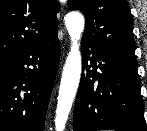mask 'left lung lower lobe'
Segmentation results:
<instances>
[{
	"mask_svg": "<svg viewBox=\"0 0 147 131\" xmlns=\"http://www.w3.org/2000/svg\"><path fill=\"white\" fill-rule=\"evenodd\" d=\"M73 131H147L138 65L82 39Z\"/></svg>",
	"mask_w": 147,
	"mask_h": 131,
	"instance_id": "left-lung-lower-lobe-1",
	"label": "left lung lower lobe"
}]
</instances>
